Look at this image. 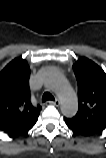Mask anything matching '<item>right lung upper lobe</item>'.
<instances>
[{
  "instance_id": "1",
  "label": "right lung upper lobe",
  "mask_w": 106,
  "mask_h": 158,
  "mask_svg": "<svg viewBox=\"0 0 106 158\" xmlns=\"http://www.w3.org/2000/svg\"><path fill=\"white\" fill-rule=\"evenodd\" d=\"M29 77L30 67L21 57L0 72V131L11 136H19L31 129L42 109L31 102Z\"/></svg>"
}]
</instances>
